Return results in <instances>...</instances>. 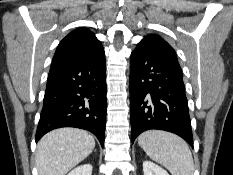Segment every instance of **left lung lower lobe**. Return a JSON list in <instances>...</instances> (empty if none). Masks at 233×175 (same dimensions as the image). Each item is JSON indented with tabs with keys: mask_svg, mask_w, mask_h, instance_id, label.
<instances>
[{
	"mask_svg": "<svg viewBox=\"0 0 233 175\" xmlns=\"http://www.w3.org/2000/svg\"><path fill=\"white\" fill-rule=\"evenodd\" d=\"M130 121L132 143L142 132L159 129L193 136L180 66L138 44L130 60Z\"/></svg>",
	"mask_w": 233,
	"mask_h": 175,
	"instance_id": "1",
	"label": "left lung lower lobe"
}]
</instances>
